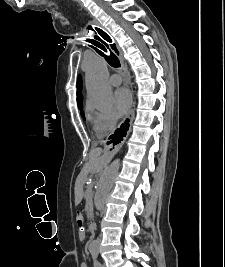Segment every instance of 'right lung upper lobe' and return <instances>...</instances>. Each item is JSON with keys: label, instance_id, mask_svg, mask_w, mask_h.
I'll use <instances>...</instances> for the list:
<instances>
[{"label": "right lung upper lobe", "instance_id": "1", "mask_svg": "<svg viewBox=\"0 0 225 267\" xmlns=\"http://www.w3.org/2000/svg\"><path fill=\"white\" fill-rule=\"evenodd\" d=\"M82 90V78L79 75L77 80V105L79 109H83V96L81 94Z\"/></svg>", "mask_w": 225, "mask_h": 267}]
</instances>
